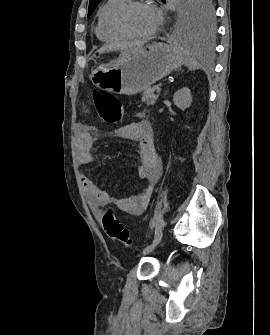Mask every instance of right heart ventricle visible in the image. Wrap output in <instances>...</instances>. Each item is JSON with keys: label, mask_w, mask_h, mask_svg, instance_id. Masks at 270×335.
<instances>
[{"label": "right heart ventricle", "mask_w": 270, "mask_h": 335, "mask_svg": "<svg viewBox=\"0 0 270 335\" xmlns=\"http://www.w3.org/2000/svg\"><path fill=\"white\" fill-rule=\"evenodd\" d=\"M127 3L128 2L123 0H107L102 5L97 15V23L95 28L96 37L100 41L104 43H115L126 38L115 28L114 17L116 12Z\"/></svg>", "instance_id": "obj_1"}]
</instances>
